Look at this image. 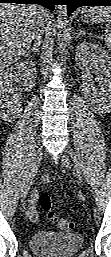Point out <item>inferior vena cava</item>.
<instances>
[{
  "instance_id": "602c4592",
  "label": "inferior vena cava",
  "mask_w": 111,
  "mask_h": 257,
  "mask_svg": "<svg viewBox=\"0 0 111 257\" xmlns=\"http://www.w3.org/2000/svg\"><path fill=\"white\" fill-rule=\"evenodd\" d=\"M44 32L43 27L39 26L34 34L35 43H38L40 45L41 42V36Z\"/></svg>"
}]
</instances>
